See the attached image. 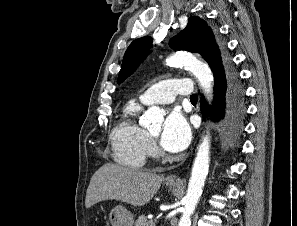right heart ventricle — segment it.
Masks as SVG:
<instances>
[{"label": "right heart ventricle", "instance_id": "obj_1", "mask_svg": "<svg viewBox=\"0 0 297 226\" xmlns=\"http://www.w3.org/2000/svg\"><path fill=\"white\" fill-rule=\"evenodd\" d=\"M141 104L130 101L111 132L113 157L121 165L140 168L148 156L150 137L137 121Z\"/></svg>", "mask_w": 297, "mask_h": 226}]
</instances>
